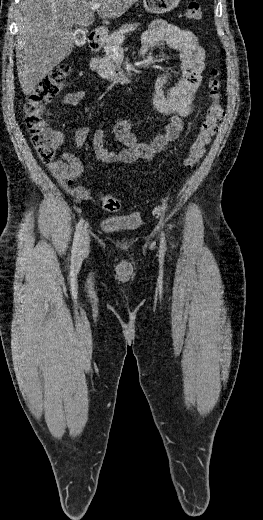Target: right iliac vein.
<instances>
[{
  "mask_svg": "<svg viewBox=\"0 0 263 520\" xmlns=\"http://www.w3.org/2000/svg\"><path fill=\"white\" fill-rule=\"evenodd\" d=\"M90 246V237L88 234L87 227H85L81 233L79 246H78V255L85 256L88 254Z\"/></svg>",
  "mask_w": 263,
  "mask_h": 520,
  "instance_id": "obj_1",
  "label": "right iliac vein"
}]
</instances>
